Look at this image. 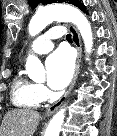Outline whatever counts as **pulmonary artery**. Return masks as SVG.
Returning <instances> with one entry per match:
<instances>
[{
    "label": "pulmonary artery",
    "instance_id": "pulmonary-artery-1",
    "mask_svg": "<svg viewBox=\"0 0 117 136\" xmlns=\"http://www.w3.org/2000/svg\"><path fill=\"white\" fill-rule=\"evenodd\" d=\"M62 35L61 29L53 28L37 37L30 45V50L36 54H45L53 48L54 40Z\"/></svg>",
    "mask_w": 117,
    "mask_h": 136
}]
</instances>
